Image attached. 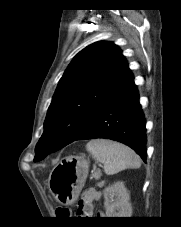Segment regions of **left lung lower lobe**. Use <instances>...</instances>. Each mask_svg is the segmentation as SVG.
Segmentation results:
<instances>
[{
    "label": "left lung lower lobe",
    "instance_id": "left-lung-lower-lobe-1",
    "mask_svg": "<svg viewBox=\"0 0 181 227\" xmlns=\"http://www.w3.org/2000/svg\"><path fill=\"white\" fill-rule=\"evenodd\" d=\"M95 138L121 142L146 161V122L131 74L99 106L77 140Z\"/></svg>",
    "mask_w": 181,
    "mask_h": 227
}]
</instances>
